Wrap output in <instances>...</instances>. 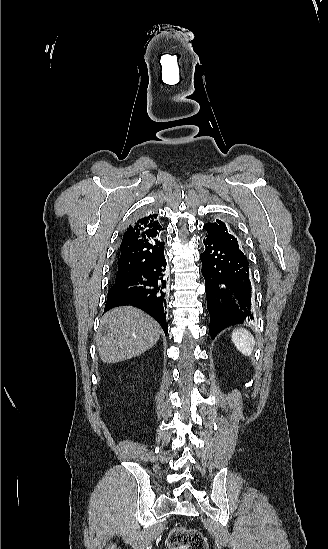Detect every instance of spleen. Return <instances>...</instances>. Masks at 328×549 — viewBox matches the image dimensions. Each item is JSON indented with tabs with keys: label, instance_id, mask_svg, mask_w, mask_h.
<instances>
[{
	"label": "spleen",
	"instance_id": "3e777b00",
	"mask_svg": "<svg viewBox=\"0 0 328 549\" xmlns=\"http://www.w3.org/2000/svg\"><path fill=\"white\" fill-rule=\"evenodd\" d=\"M232 343H234L236 349L249 357L252 355L253 347L255 345V339L247 329H235L231 335Z\"/></svg>",
	"mask_w": 328,
	"mask_h": 549
}]
</instances>
